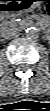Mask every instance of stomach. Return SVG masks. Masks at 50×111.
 <instances>
[{"label":"stomach","instance_id":"0dacf381","mask_svg":"<svg viewBox=\"0 0 50 111\" xmlns=\"http://www.w3.org/2000/svg\"><path fill=\"white\" fill-rule=\"evenodd\" d=\"M39 4V0H4L0 10L3 15L12 17L34 10Z\"/></svg>","mask_w":50,"mask_h":111}]
</instances>
